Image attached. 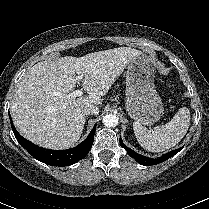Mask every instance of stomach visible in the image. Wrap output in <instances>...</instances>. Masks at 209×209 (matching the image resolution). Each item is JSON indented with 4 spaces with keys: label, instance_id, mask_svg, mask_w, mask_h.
<instances>
[{
    "label": "stomach",
    "instance_id": "1",
    "mask_svg": "<svg viewBox=\"0 0 209 209\" xmlns=\"http://www.w3.org/2000/svg\"><path fill=\"white\" fill-rule=\"evenodd\" d=\"M125 108L131 118L144 125L154 124L163 113L154 85L153 63L146 54L141 53L128 63Z\"/></svg>",
    "mask_w": 209,
    "mask_h": 209
}]
</instances>
